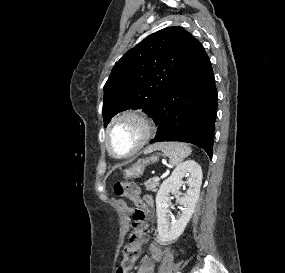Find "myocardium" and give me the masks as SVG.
I'll return each mask as SVG.
<instances>
[{
	"label": "myocardium",
	"mask_w": 285,
	"mask_h": 273,
	"mask_svg": "<svg viewBox=\"0 0 285 273\" xmlns=\"http://www.w3.org/2000/svg\"><path fill=\"white\" fill-rule=\"evenodd\" d=\"M126 119H133L136 122L139 123L140 127H141V137L139 139V141L137 142V144L126 154L123 155H119L116 154L110 145V141H109V137L110 134L114 128V126L119 123L122 120H126ZM154 123L152 121V119L145 114L144 112H141L139 110H125L119 114H117L116 116H114L110 122L108 123V125L105 128V132H104V145L106 150L108 151V153L118 159H125V158H129L133 155H135L138 151H140L147 143L148 141L151 139V137L153 136L154 133Z\"/></svg>",
	"instance_id": "f54148a6"
}]
</instances>
